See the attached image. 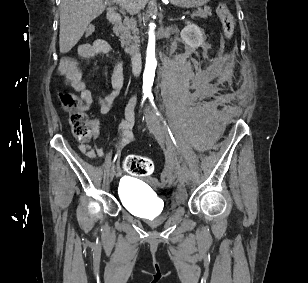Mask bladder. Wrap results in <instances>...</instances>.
Here are the masks:
<instances>
[{"instance_id": "bladder-1", "label": "bladder", "mask_w": 308, "mask_h": 283, "mask_svg": "<svg viewBox=\"0 0 308 283\" xmlns=\"http://www.w3.org/2000/svg\"><path fill=\"white\" fill-rule=\"evenodd\" d=\"M118 194L122 203L132 212L148 217L154 213L156 202L146 189L138 182L123 178L119 183ZM159 212H155V216Z\"/></svg>"}]
</instances>
